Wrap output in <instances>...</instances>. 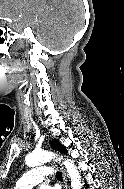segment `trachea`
I'll list each match as a JSON object with an SVG mask.
<instances>
[{"label":"trachea","mask_w":124,"mask_h":189,"mask_svg":"<svg viewBox=\"0 0 124 189\" xmlns=\"http://www.w3.org/2000/svg\"><path fill=\"white\" fill-rule=\"evenodd\" d=\"M56 177L58 180H62V174L60 172H57Z\"/></svg>","instance_id":"1"}]
</instances>
